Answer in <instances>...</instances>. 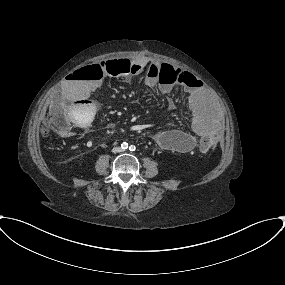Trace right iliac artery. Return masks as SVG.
I'll use <instances>...</instances> for the list:
<instances>
[{
    "label": "right iliac artery",
    "instance_id": "1",
    "mask_svg": "<svg viewBox=\"0 0 285 285\" xmlns=\"http://www.w3.org/2000/svg\"><path fill=\"white\" fill-rule=\"evenodd\" d=\"M121 148L122 149H127L128 148V143H126V142H123V144H121Z\"/></svg>",
    "mask_w": 285,
    "mask_h": 285
}]
</instances>
